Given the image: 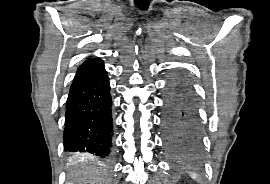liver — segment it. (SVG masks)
Segmentation results:
<instances>
[{
    "mask_svg": "<svg viewBox=\"0 0 270 184\" xmlns=\"http://www.w3.org/2000/svg\"><path fill=\"white\" fill-rule=\"evenodd\" d=\"M105 171L98 167H86L69 175V184H104Z\"/></svg>",
    "mask_w": 270,
    "mask_h": 184,
    "instance_id": "1",
    "label": "liver"
}]
</instances>
